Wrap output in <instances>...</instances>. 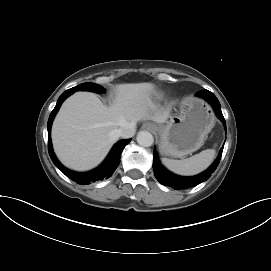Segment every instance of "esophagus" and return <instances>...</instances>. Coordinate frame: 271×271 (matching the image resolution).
<instances>
[{"mask_svg": "<svg viewBox=\"0 0 271 271\" xmlns=\"http://www.w3.org/2000/svg\"><path fill=\"white\" fill-rule=\"evenodd\" d=\"M142 128L146 129V130H149V131H154L156 129L155 125L152 124V123H144Z\"/></svg>", "mask_w": 271, "mask_h": 271, "instance_id": "34e87169", "label": "esophagus"}]
</instances>
